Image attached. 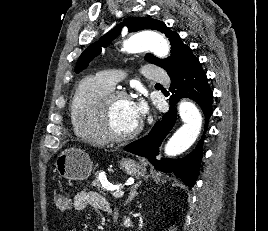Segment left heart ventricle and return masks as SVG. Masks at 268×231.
Listing matches in <instances>:
<instances>
[{"label": "left heart ventricle", "mask_w": 268, "mask_h": 231, "mask_svg": "<svg viewBox=\"0 0 268 231\" xmlns=\"http://www.w3.org/2000/svg\"><path fill=\"white\" fill-rule=\"evenodd\" d=\"M112 121L116 130L122 133L130 132L140 124L130 99H120L115 102L112 108Z\"/></svg>", "instance_id": "obj_1"}]
</instances>
